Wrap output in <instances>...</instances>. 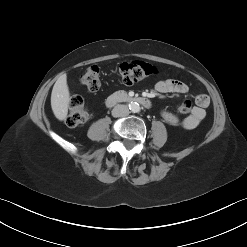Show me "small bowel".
Masks as SVG:
<instances>
[{
	"label": "small bowel",
	"mask_w": 247,
	"mask_h": 247,
	"mask_svg": "<svg viewBox=\"0 0 247 247\" xmlns=\"http://www.w3.org/2000/svg\"><path fill=\"white\" fill-rule=\"evenodd\" d=\"M155 90L158 93L184 94L188 92L189 87L182 81L167 79L157 82L155 85ZM209 104L210 98L206 94H200L196 96L195 106L190 110L189 114L185 118L180 119L177 115L168 110H163L161 112V116L170 125L181 126L185 129H194L205 118V109L209 106Z\"/></svg>",
	"instance_id": "1"
}]
</instances>
